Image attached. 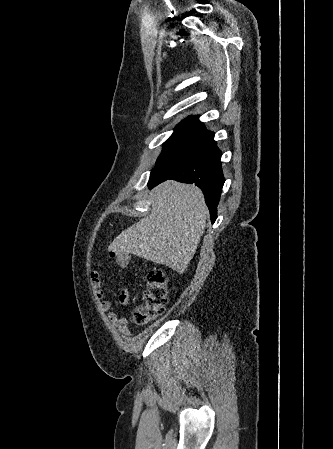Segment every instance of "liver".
<instances>
[{"label": "liver", "instance_id": "liver-1", "mask_svg": "<svg viewBox=\"0 0 333 449\" xmlns=\"http://www.w3.org/2000/svg\"><path fill=\"white\" fill-rule=\"evenodd\" d=\"M151 214L117 236L109 251L130 253L183 273L204 233L208 209L195 185L166 181L151 192Z\"/></svg>", "mask_w": 333, "mask_h": 449}]
</instances>
